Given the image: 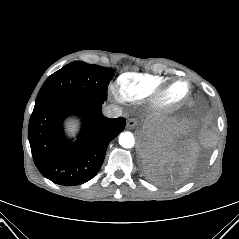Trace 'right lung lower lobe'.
Returning <instances> with one entry per match:
<instances>
[{"label":"right lung lower lobe","instance_id":"98d812e1","mask_svg":"<svg viewBox=\"0 0 239 239\" xmlns=\"http://www.w3.org/2000/svg\"><path fill=\"white\" fill-rule=\"evenodd\" d=\"M105 100L88 95L61 94L37 100L28 136L36 167L59 185H78L92 179L101 168L109 142L124 130L123 117L102 115ZM77 113L84 125L79 139L69 143L63 135V119Z\"/></svg>","mask_w":239,"mask_h":239}]
</instances>
